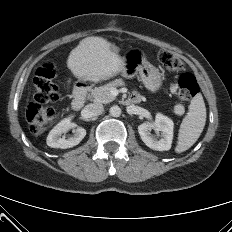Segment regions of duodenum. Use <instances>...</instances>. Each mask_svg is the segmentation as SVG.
I'll list each match as a JSON object with an SVG mask.
<instances>
[{
  "mask_svg": "<svg viewBox=\"0 0 232 232\" xmlns=\"http://www.w3.org/2000/svg\"><path fill=\"white\" fill-rule=\"evenodd\" d=\"M90 88V85H79L75 90V95L72 103V107L75 111L80 110L85 103L87 92ZM132 96L127 100L128 103H137L139 100L132 101Z\"/></svg>",
  "mask_w": 232,
  "mask_h": 232,
  "instance_id": "1",
  "label": "duodenum"
}]
</instances>
